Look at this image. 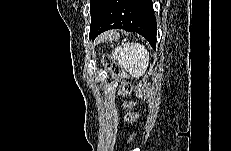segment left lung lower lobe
Segmentation results:
<instances>
[{"mask_svg": "<svg viewBox=\"0 0 231 151\" xmlns=\"http://www.w3.org/2000/svg\"><path fill=\"white\" fill-rule=\"evenodd\" d=\"M137 32L156 49L157 24L152 0H110L97 26L90 30L94 39L109 29Z\"/></svg>", "mask_w": 231, "mask_h": 151, "instance_id": "left-lung-lower-lobe-1", "label": "left lung lower lobe"}]
</instances>
